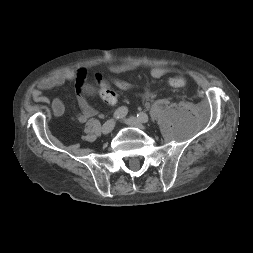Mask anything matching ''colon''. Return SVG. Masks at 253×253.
Returning <instances> with one entry per match:
<instances>
[{"mask_svg":"<svg viewBox=\"0 0 253 253\" xmlns=\"http://www.w3.org/2000/svg\"><path fill=\"white\" fill-rule=\"evenodd\" d=\"M95 80L99 88L100 97L108 104H115L119 99L113 87L120 90H132L136 88L135 85L120 78L105 79L100 73H96ZM168 84L175 88H181L186 84V80L180 75L173 76L168 79Z\"/></svg>","mask_w":253,"mask_h":253,"instance_id":"1","label":"colon"}]
</instances>
